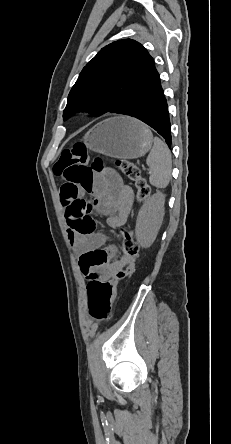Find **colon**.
<instances>
[{
    "instance_id": "5ec220e1",
    "label": "colon",
    "mask_w": 231,
    "mask_h": 444,
    "mask_svg": "<svg viewBox=\"0 0 231 444\" xmlns=\"http://www.w3.org/2000/svg\"><path fill=\"white\" fill-rule=\"evenodd\" d=\"M117 167L126 178L133 181L136 186L137 199L143 201L150 194V187L142 177L141 171L133 162L120 159ZM102 169L99 160L88 163V155L82 143L75 144L72 148L65 149L58 161L53 166L55 176L64 179L65 185L72 188H89L92 185L94 175ZM90 205L84 200L74 201L70 207V213L75 218L74 228L81 235H90L94 232L95 222L89 214ZM122 253L124 266L115 275L106 279L92 280L88 286V303L91 316L99 321L108 320L112 313V304L120 282L130 277L136 268L139 256V246L134 238L133 231L129 228L122 229Z\"/></svg>"
}]
</instances>
